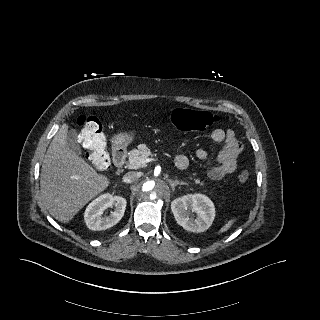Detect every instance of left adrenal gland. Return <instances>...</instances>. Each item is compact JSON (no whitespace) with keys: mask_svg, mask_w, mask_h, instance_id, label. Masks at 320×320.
Here are the masks:
<instances>
[{"mask_svg":"<svg viewBox=\"0 0 320 320\" xmlns=\"http://www.w3.org/2000/svg\"><path fill=\"white\" fill-rule=\"evenodd\" d=\"M169 183H170V185H171V187H172L173 189H174L175 186H177V185H188L187 183L182 182V181H179V180H175V181L169 180Z\"/></svg>","mask_w":320,"mask_h":320,"instance_id":"a2214340","label":"left adrenal gland"}]
</instances>
